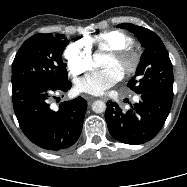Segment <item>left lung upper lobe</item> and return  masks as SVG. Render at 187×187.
<instances>
[{"instance_id": "obj_1", "label": "left lung upper lobe", "mask_w": 187, "mask_h": 187, "mask_svg": "<svg viewBox=\"0 0 187 187\" xmlns=\"http://www.w3.org/2000/svg\"><path fill=\"white\" fill-rule=\"evenodd\" d=\"M132 32L145 48L135 76L127 86L137 94L159 93L173 96V68L169 54L157 34L130 23L118 25Z\"/></svg>"}]
</instances>
